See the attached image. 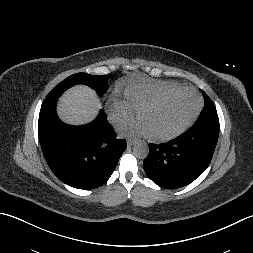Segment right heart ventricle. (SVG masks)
Here are the masks:
<instances>
[{"label": "right heart ventricle", "mask_w": 253, "mask_h": 253, "mask_svg": "<svg viewBox=\"0 0 253 253\" xmlns=\"http://www.w3.org/2000/svg\"><path fill=\"white\" fill-rule=\"evenodd\" d=\"M179 87L176 83L170 82H147L139 81L125 89L126 101L132 108L138 110L142 105L155 98Z\"/></svg>", "instance_id": "right-heart-ventricle-1"}]
</instances>
